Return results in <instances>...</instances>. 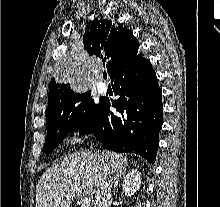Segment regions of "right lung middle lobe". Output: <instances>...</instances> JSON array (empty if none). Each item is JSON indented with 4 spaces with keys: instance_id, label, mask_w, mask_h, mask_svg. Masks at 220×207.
Instances as JSON below:
<instances>
[{
    "instance_id": "right-lung-middle-lobe-1",
    "label": "right lung middle lobe",
    "mask_w": 220,
    "mask_h": 207,
    "mask_svg": "<svg viewBox=\"0 0 220 207\" xmlns=\"http://www.w3.org/2000/svg\"><path fill=\"white\" fill-rule=\"evenodd\" d=\"M99 104L94 103L90 91L76 93L47 114V140L43 152L49 154L70 132L82 128L92 118Z\"/></svg>"
}]
</instances>
